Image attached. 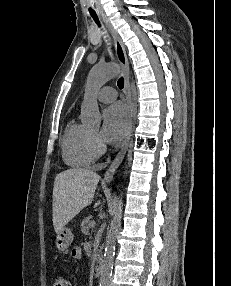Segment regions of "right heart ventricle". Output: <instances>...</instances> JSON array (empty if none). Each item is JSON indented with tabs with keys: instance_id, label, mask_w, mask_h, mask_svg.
<instances>
[{
	"instance_id": "right-heart-ventricle-1",
	"label": "right heart ventricle",
	"mask_w": 231,
	"mask_h": 286,
	"mask_svg": "<svg viewBox=\"0 0 231 286\" xmlns=\"http://www.w3.org/2000/svg\"><path fill=\"white\" fill-rule=\"evenodd\" d=\"M61 150L64 163L72 168L87 167L96 159L90 147L89 130L75 119L64 130Z\"/></svg>"
}]
</instances>
